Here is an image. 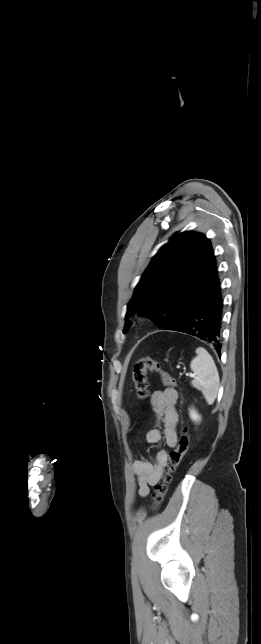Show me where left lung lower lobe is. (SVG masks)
Segmentation results:
<instances>
[{"mask_svg": "<svg viewBox=\"0 0 261 644\" xmlns=\"http://www.w3.org/2000/svg\"><path fill=\"white\" fill-rule=\"evenodd\" d=\"M223 296L219 276L211 287L166 330L184 332L212 345L220 355Z\"/></svg>", "mask_w": 261, "mask_h": 644, "instance_id": "0a47b994", "label": "left lung lower lobe"}]
</instances>
